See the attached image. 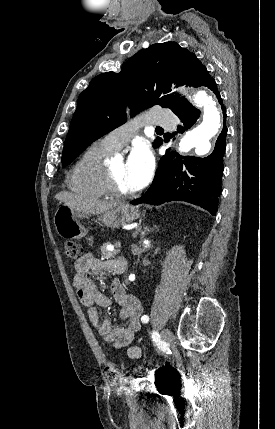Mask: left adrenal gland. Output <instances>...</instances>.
Wrapping results in <instances>:
<instances>
[{"label":"left adrenal gland","instance_id":"a2214340","mask_svg":"<svg viewBox=\"0 0 275 429\" xmlns=\"http://www.w3.org/2000/svg\"><path fill=\"white\" fill-rule=\"evenodd\" d=\"M139 230H140V227H138V229H136L135 234H138Z\"/></svg>","mask_w":275,"mask_h":429}]
</instances>
